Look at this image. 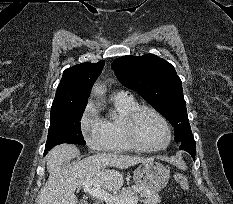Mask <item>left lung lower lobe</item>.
<instances>
[{"label":"left lung lower lobe","instance_id":"left-lung-lower-lobe-1","mask_svg":"<svg viewBox=\"0 0 233 204\" xmlns=\"http://www.w3.org/2000/svg\"><path fill=\"white\" fill-rule=\"evenodd\" d=\"M185 149H186L187 152H189L191 154L192 157L195 156V154H196V148L194 149V148L186 147Z\"/></svg>","mask_w":233,"mask_h":204}]
</instances>
